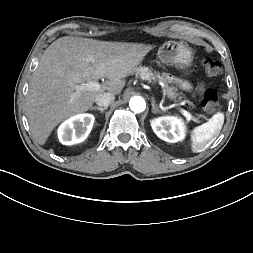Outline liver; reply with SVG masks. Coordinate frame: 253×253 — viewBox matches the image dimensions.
<instances>
[{
    "instance_id": "liver-1",
    "label": "liver",
    "mask_w": 253,
    "mask_h": 253,
    "mask_svg": "<svg viewBox=\"0 0 253 253\" xmlns=\"http://www.w3.org/2000/svg\"><path fill=\"white\" fill-rule=\"evenodd\" d=\"M152 48L76 36L54 41L44 51L27 94L26 116L36 141L45 144L60 122L88 111L98 94H120L126 84L124 78L136 72ZM99 78L108 79L100 90L72 98L78 83Z\"/></svg>"
}]
</instances>
